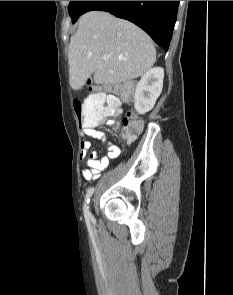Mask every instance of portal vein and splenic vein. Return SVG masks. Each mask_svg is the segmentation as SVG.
<instances>
[{
  "label": "portal vein and splenic vein",
  "mask_w": 233,
  "mask_h": 295,
  "mask_svg": "<svg viewBox=\"0 0 233 295\" xmlns=\"http://www.w3.org/2000/svg\"><path fill=\"white\" fill-rule=\"evenodd\" d=\"M108 58H109L108 55H103V59H104V60H107Z\"/></svg>",
  "instance_id": "18ae733b"
}]
</instances>
